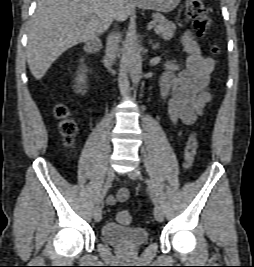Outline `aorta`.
Instances as JSON below:
<instances>
[{"mask_svg":"<svg viewBox=\"0 0 254 267\" xmlns=\"http://www.w3.org/2000/svg\"><path fill=\"white\" fill-rule=\"evenodd\" d=\"M127 61L130 78L133 83H137L142 74V56L137 37L133 33L128 38Z\"/></svg>","mask_w":254,"mask_h":267,"instance_id":"1","label":"aorta"}]
</instances>
